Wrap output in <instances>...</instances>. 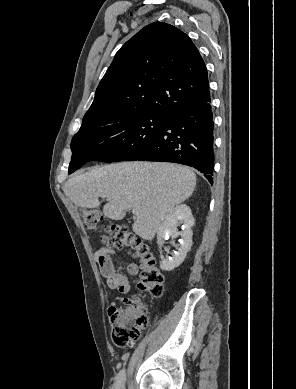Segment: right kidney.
Returning a JSON list of instances; mask_svg holds the SVG:
<instances>
[{
    "label": "right kidney",
    "mask_w": 296,
    "mask_h": 389,
    "mask_svg": "<svg viewBox=\"0 0 296 389\" xmlns=\"http://www.w3.org/2000/svg\"><path fill=\"white\" fill-rule=\"evenodd\" d=\"M195 224L191 209L185 204H181L173 208L165 217L162 224L157 231L158 245L162 247L165 240L170 237L179 239V244L173 245L177 251L175 254L167 259H163L160 263V268L164 271H172L177 268L185 259L187 253L192 246V227ZM181 226V231H178V227Z\"/></svg>",
    "instance_id": "obj_1"
}]
</instances>
